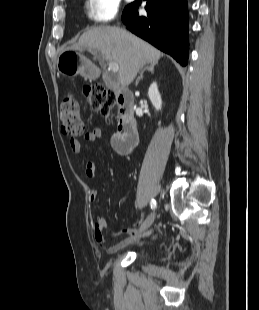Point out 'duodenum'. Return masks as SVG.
Instances as JSON below:
<instances>
[{"label":"duodenum","mask_w":259,"mask_h":310,"mask_svg":"<svg viewBox=\"0 0 259 310\" xmlns=\"http://www.w3.org/2000/svg\"><path fill=\"white\" fill-rule=\"evenodd\" d=\"M118 130L113 145L122 154H130L138 142L137 124L134 116V98L130 91L117 89Z\"/></svg>","instance_id":"1"}]
</instances>
